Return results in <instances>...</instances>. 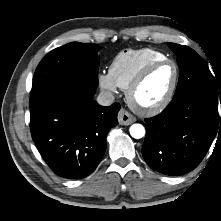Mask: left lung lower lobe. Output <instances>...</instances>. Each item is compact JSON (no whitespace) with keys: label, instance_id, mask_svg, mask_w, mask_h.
<instances>
[{"label":"left lung lower lobe","instance_id":"0a47b994","mask_svg":"<svg viewBox=\"0 0 221 221\" xmlns=\"http://www.w3.org/2000/svg\"><path fill=\"white\" fill-rule=\"evenodd\" d=\"M145 122L144 160L169 176L196 168L221 132L218 102L198 92L174 97L163 112Z\"/></svg>","mask_w":221,"mask_h":221}]
</instances>
